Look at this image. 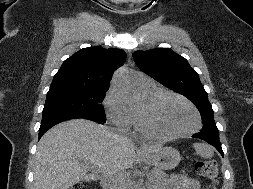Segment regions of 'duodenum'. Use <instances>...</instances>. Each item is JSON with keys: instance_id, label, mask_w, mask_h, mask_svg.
I'll return each mask as SVG.
<instances>
[{"instance_id": "duodenum-1", "label": "duodenum", "mask_w": 253, "mask_h": 189, "mask_svg": "<svg viewBox=\"0 0 253 189\" xmlns=\"http://www.w3.org/2000/svg\"><path fill=\"white\" fill-rule=\"evenodd\" d=\"M103 189H111V181L109 179H105L102 182Z\"/></svg>"}]
</instances>
